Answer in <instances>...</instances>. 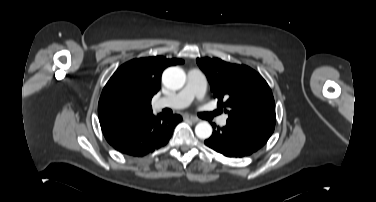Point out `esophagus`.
I'll list each match as a JSON object with an SVG mask.
<instances>
[{
  "label": "esophagus",
  "instance_id": "34e87169",
  "mask_svg": "<svg viewBox=\"0 0 376 202\" xmlns=\"http://www.w3.org/2000/svg\"><path fill=\"white\" fill-rule=\"evenodd\" d=\"M186 118L194 123L198 122L199 119L197 117H194L192 115H187Z\"/></svg>",
  "mask_w": 376,
  "mask_h": 202
}]
</instances>
